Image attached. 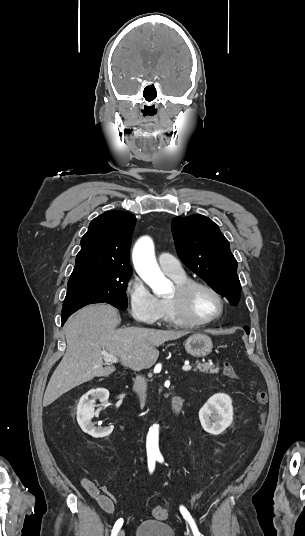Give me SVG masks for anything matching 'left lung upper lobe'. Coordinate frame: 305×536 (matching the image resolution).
<instances>
[{
	"mask_svg": "<svg viewBox=\"0 0 305 536\" xmlns=\"http://www.w3.org/2000/svg\"><path fill=\"white\" fill-rule=\"evenodd\" d=\"M172 232L179 258L231 305L240 299L237 261L218 225L203 215L175 217Z\"/></svg>",
	"mask_w": 305,
	"mask_h": 536,
	"instance_id": "obj_1",
	"label": "left lung upper lobe"
}]
</instances>
